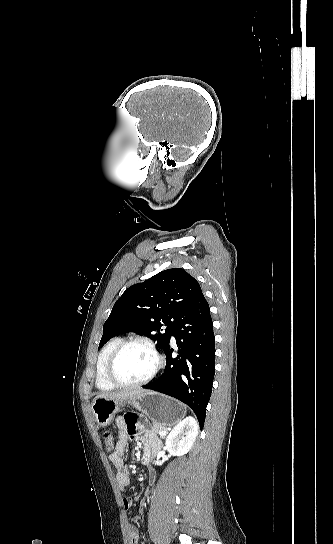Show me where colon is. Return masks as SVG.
<instances>
[{"instance_id":"obj_1","label":"colon","mask_w":333,"mask_h":544,"mask_svg":"<svg viewBox=\"0 0 333 544\" xmlns=\"http://www.w3.org/2000/svg\"><path fill=\"white\" fill-rule=\"evenodd\" d=\"M103 440L108 450L113 448V438L109 431L103 432Z\"/></svg>"}]
</instances>
